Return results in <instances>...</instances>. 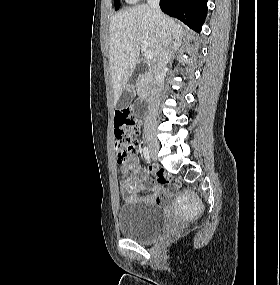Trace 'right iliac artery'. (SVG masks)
<instances>
[{"mask_svg":"<svg viewBox=\"0 0 280 285\" xmlns=\"http://www.w3.org/2000/svg\"><path fill=\"white\" fill-rule=\"evenodd\" d=\"M143 154H144V158H145L146 160H148V159L150 158L149 150H148L147 147H144V149H143Z\"/></svg>","mask_w":280,"mask_h":285,"instance_id":"1","label":"right iliac artery"}]
</instances>
